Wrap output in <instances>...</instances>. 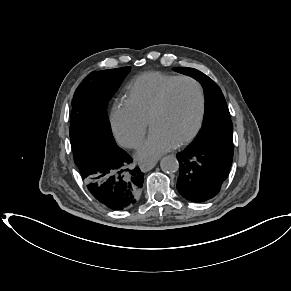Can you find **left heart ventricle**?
Returning <instances> with one entry per match:
<instances>
[{
  "instance_id": "1",
  "label": "left heart ventricle",
  "mask_w": 291,
  "mask_h": 291,
  "mask_svg": "<svg viewBox=\"0 0 291 291\" xmlns=\"http://www.w3.org/2000/svg\"><path fill=\"white\" fill-rule=\"evenodd\" d=\"M198 114L196 87L189 81H181L171 90L166 108L154 119L151 129L166 134L177 143L193 130Z\"/></svg>"
}]
</instances>
